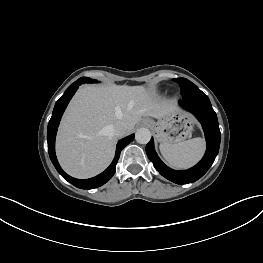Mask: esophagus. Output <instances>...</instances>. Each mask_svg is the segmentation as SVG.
<instances>
[{"label": "esophagus", "instance_id": "34e87169", "mask_svg": "<svg viewBox=\"0 0 263 263\" xmlns=\"http://www.w3.org/2000/svg\"><path fill=\"white\" fill-rule=\"evenodd\" d=\"M144 123H145V124H148V123H149V119H145V120H144Z\"/></svg>", "mask_w": 263, "mask_h": 263}]
</instances>
